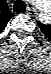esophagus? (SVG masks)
<instances>
[{"label":"esophagus","mask_w":51,"mask_h":74,"mask_svg":"<svg viewBox=\"0 0 51 74\" xmlns=\"http://www.w3.org/2000/svg\"><path fill=\"white\" fill-rule=\"evenodd\" d=\"M27 13L29 14V15H35L36 13H37V11L34 9V8H29L28 10H27Z\"/></svg>","instance_id":"34e87169"}]
</instances>
